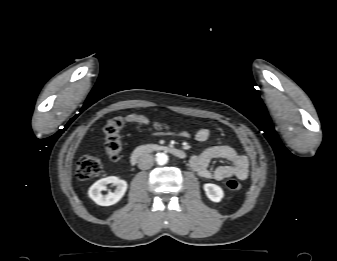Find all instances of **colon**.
<instances>
[{"mask_svg":"<svg viewBox=\"0 0 337 261\" xmlns=\"http://www.w3.org/2000/svg\"><path fill=\"white\" fill-rule=\"evenodd\" d=\"M127 122L125 117L117 116L110 119L104 128L105 152L111 161H117L122 150L120 131ZM142 124V123H139ZM143 125H151L156 129H167L168 125L153 121ZM102 170L101 160L95 156L83 155L79 158L76 165V176L79 180H88L97 176ZM229 190L237 191L241 188V183L236 179H229L226 182Z\"/></svg>","mask_w":337,"mask_h":261,"instance_id":"colon-1","label":"colon"}]
</instances>
